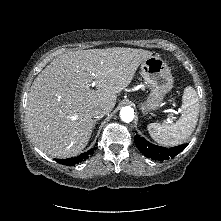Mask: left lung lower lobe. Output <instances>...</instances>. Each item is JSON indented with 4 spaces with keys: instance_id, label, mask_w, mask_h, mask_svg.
Listing matches in <instances>:
<instances>
[{
    "instance_id": "left-lung-lower-lobe-1",
    "label": "left lung lower lobe",
    "mask_w": 221,
    "mask_h": 221,
    "mask_svg": "<svg viewBox=\"0 0 221 221\" xmlns=\"http://www.w3.org/2000/svg\"><path fill=\"white\" fill-rule=\"evenodd\" d=\"M134 142L140 152L144 154L145 157L155 159V160H168L175 157L181 151L187 147L188 144H183L176 147L165 148L161 146L152 145L145 138L139 135L135 136Z\"/></svg>"
}]
</instances>
